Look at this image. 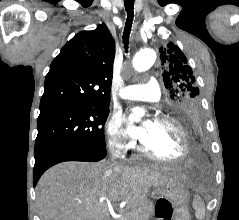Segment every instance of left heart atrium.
Instances as JSON below:
<instances>
[{"label": "left heart atrium", "mask_w": 239, "mask_h": 220, "mask_svg": "<svg viewBox=\"0 0 239 220\" xmlns=\"http://www.w3.org/2000/svg\"><path fill=\"white\" fill-rule=\"evenodd\" d=\"M129 134L140 141H143L147 135L146 128L142 125L139 127H131L129 129Z\"/></svg>", "instance_id": "left-heart-atrium-1"}]
</instances>
